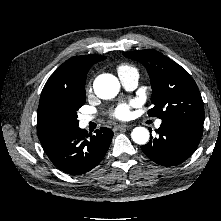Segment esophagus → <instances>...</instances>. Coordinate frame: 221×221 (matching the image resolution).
I'll return each mask as SVG.
<instances>
[{
    "label": "esophagus",
    "mask_w": 221,
    "mask_h": 221,
    "mask_svg": "<svg viewBox=\"0 0 221 221\" xmlns=\"http://www.w3.org/2000/svg\"><path fill=\"white\" fill-rule=\"evenodd\" d=\"M130 127H131L130 125L119 124L114 127V130H124V129L130 128Z\"/></svg>",
    "instance_id": "obj_1"
}]
</instances>
